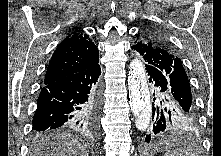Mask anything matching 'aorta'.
Instances as JSON below:
<instances>
[{"label":"aorta","mask_w":221,"mask_h":156,"mask_svg":"<svg viewBox=\"0 0 221 156\" xmlns=\"http://www.w3.org/2000/svg\"><path fill=\"white\" fill-rule=\"evenodd\" d=\"M128 91L130 106L135 117L136 125L145 131L150 122L149 91L146 82L145 69L139 60H134L128 73Z\"/></svg>","instance_id":"762f6f07"}]
</instances>
